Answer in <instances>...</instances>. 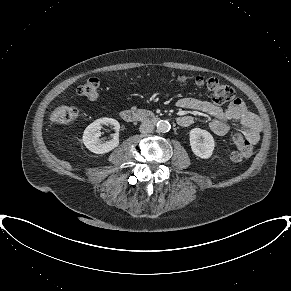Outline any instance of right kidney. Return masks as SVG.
I'll list each match as a JSON object with an SVG mask.
<instances>
[{
	"label": "right kidney",
	"mask_w": 291,
	"mask_h": 291,
	"mask_svg": "<svg viewBox=\"0 0 291 291\" xmlns=\"http://www.w3.org/2000/svg\"><path fill=\"white\" fill-rule=\"evenodd\" d=\"M103 124H109L114 126V129L116 131L113 139L106 143H102L99 139V130L102 128ZM119 130L120 124L117 120L112 118H100L87 126L83 133L82 141L86 148L93 153H108L119 145Z\"/></svg>",
	"instance_id": "ca27d5eb"
}]
</instances>
